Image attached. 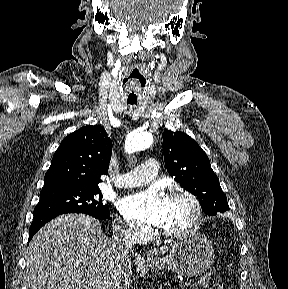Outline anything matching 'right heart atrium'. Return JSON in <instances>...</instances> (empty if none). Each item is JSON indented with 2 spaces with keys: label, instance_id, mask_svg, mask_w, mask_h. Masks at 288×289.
<instances>
[{
  "label": "right heart atrium",
  "instance_id": "obj_1",
  "mask_svg": "<svg viewBox=\"0 0 288 289\" xmlns=\"http://www.w3.org/2000/svg\"><path fill=\"white\" fill-rule=\"evenodd\" d=\"M115 227L119 234L133 242L145 240L148 234V229L146 227L126 219L117 218Z\"/></svg>",
  "mask_w": 288,
  "mask_h": 289
}]
</instances>
